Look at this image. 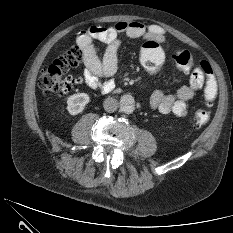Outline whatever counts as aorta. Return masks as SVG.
I'll return each instance as SVG.
<instances>
[{
	"label": "aorta",
	"mask_w": 233,
	"mask_h": 233,
	"mask_svg": "<svg viewBox=\"0 0 233 233\" xmlns=\"http://www.w3.org/2000/svg\"><path fill=\"white\" fill-rule=\"evenodd\" d=\"M121 110L125 113H132L135 110V99L130 94H125L120 99Z\"/></svg>",
	"instance_id": "obj_1"
}]
</instances>
